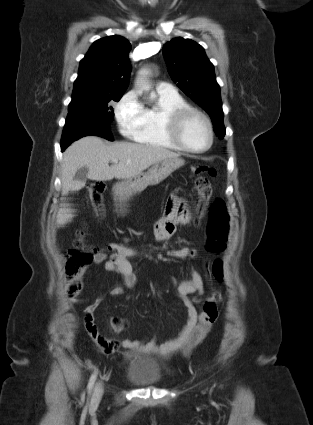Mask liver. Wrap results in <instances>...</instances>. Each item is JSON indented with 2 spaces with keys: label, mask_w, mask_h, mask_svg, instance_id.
Wrapping results in <instances>:
<instances>
[{
  "label": "liver",
  "mask_w": 313,
  "mask_h": 425,
  "mask_svg": "<svg viewBox=\"0 0 313 425\" xmlns=\"http://www.w3.org/2000/svg\"><path fill=\"white\" fill-rule=\"evenodd\" d=\"M178 157L179 154L163 147L130 142L108 145L99 137H83L72 143L63 154L62 196L79 191L85 186V183L73 180L76 172L82 167H87V177L90 180L109 181L113 178L134 177L164 159ZM112 159L119 162L109 166ZM73 212L69 204H61L56 218L57 227L71 222Z\"/></svg>",
  "instance_id": "1"
}]
</instances>
